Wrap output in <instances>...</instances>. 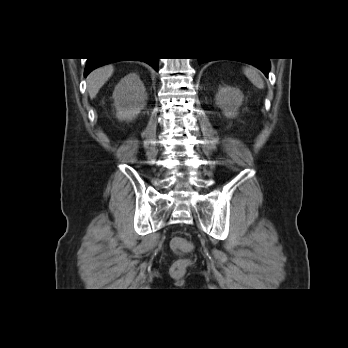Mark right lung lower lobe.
<instances>
[{"label":"right lung lower lobe","mask_w":348,"mask_h":348,"mask_svg":"<svg viewBox=\"0 0 348 348\" xmlns=\"http://www.w3.org/2000/svg\"><path fill=\"white\" fill-rule=\"evenodd\" d=\"M119 60H112V59H106V58H88L84 76L86 77L92 70L103 66L108 63L116 62ZM144 62L148 63L150 66H152L156 71L158 70V59L157 58H148L143 60Z\"/></svg>","instance_id":"obj_1"}]
</instances>
